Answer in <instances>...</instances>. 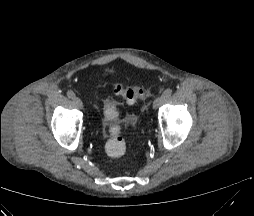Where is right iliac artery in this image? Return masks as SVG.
<instances>
[{"instance_id":"1","label":"right iliac artery","mask_w":254,"mask_h":216,"mask_svg":"<svg viewBox=\"0 0 254 216\" xmlns=\"http://www.w3.org/2000/svg\"><path fill=\"white\" fill-rule=\"evenodd\" d=\"M67 96H68L69 98L73 99V98H75V93H74L72 90H69V91L67 92Z\"/></svg>"}]
</instances>
